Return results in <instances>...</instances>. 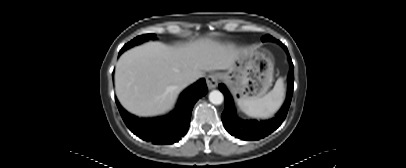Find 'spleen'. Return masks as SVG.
I'll list each match as a JSON object with an SVG mask.
<instances>
[{
	"mask_svg": "<svg viewBox=\"0 0 406 168\" xmlns=\"http://www.w3.org/2000/svg\"><path fill=\"white\" fill-rule=\"evenodd\" d=\"M284 100V83L279 78L274 88L262 98H248L238 101L239 108L254 118H269L280 108Z\"/></svg>",
	"mask_w": 406,
	"mask_h": 168,
	"instance_id": "1",
	"label": "spleen"
}]
</instances>
